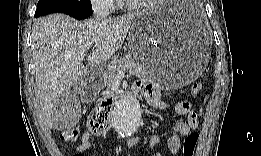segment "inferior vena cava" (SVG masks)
Segmentation results:
<instances>
[{
  "instance_id": "inferior-vena-cava-1",
  "label": "inferior vena cava",
  "mask_w": 261,
  "mask_h": 156,
  "mask_svg": "<svg viewBox=\"0 0 261 156\" xmlns=\"http://www.w3.org/2000/svg\"><path fill=\"white\" fill-rule=\"evenodd\" d=\"M93 10L97 19L107 20L110 15L107 5L103 2H96L93 6Z\"/></svg>"
}]
</instances>
